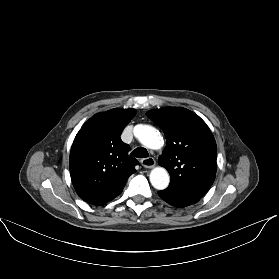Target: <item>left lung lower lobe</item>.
Returning a JSON list of instances; mask_svg holds the SVG:
<instances>
[{
  "mask_svg": "<svg viewBox=\"0 0 279 279\" xmlns=\"http://www.w3.org/2000/svg\"><path fill=\"white\" fill-rule=\"evenodd\" d=\"M158 194L164 201L175 207H186L197 202L195 200H191L185 197L169 194L164 190L159 191Z\"/></svg>",
  "mask_w": 279,
  "mask_h": 279,
  "instance_id": "left-lung-lower-lobe-1",
  "label": "left lung lower lobe"
}]
</instances>
